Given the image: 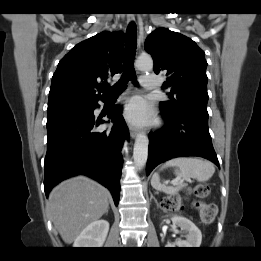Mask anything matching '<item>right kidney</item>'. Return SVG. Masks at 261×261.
<instances>
[{
    "instance_id": "obj_1",
    "label": "right kidney",
    "mask_w": 261,
    "mask_h": 261,
    "mask_svg": "<svg viewBox=\"0 0 261 261\" xmlns=\"http://www.w3.org/2000/svg\"><path fill=\"white\" fill-rule=\"evenodd\" d=\"M109 231L106 220L90 223L74 241V248H100L103 246Z\"/></svg>"
}]
</instances>
